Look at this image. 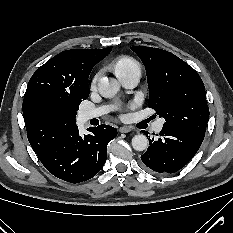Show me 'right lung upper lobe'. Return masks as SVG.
Returning a JSON list of instances; mask_svg holds the SVG:
<instances>
[{"label": "right lung upper lobe", "mask_w": 233, "mask_h": 233, "mask_svg": "<svg viewBox=\"0 0 233 233\" xmlns=\"http://www.w3.org/2000/svg\"><path fill=\"white\" fill-rule=\"evenodd\" d=\"M112 48L66 50L39 67L29 80L23 100V118L28 140L40 153L52 140L75 125L53 124L43 119L46 102H71L89 96L88 78L96 63Z\"/></svg>", "instance_id": "right-lung-upper-lobe-1"}]
</instances>
